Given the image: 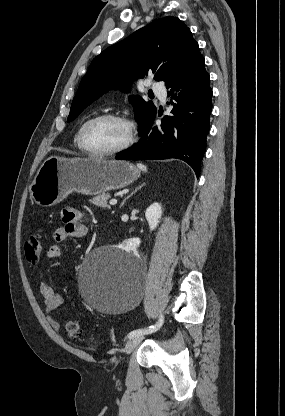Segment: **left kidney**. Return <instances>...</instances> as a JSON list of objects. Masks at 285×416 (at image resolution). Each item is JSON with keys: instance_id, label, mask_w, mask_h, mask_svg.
Listing matches in <instances>:
<instances>
[{"instance_id": "left-kidney-1", "label": "left kidney", "mask_w": 285, "mask_h": 416, "mask_svg": "<svg viewBox=\"0 0 285 416\" xmlns=\"http://www.w3.org/2000/svg\"><path fill=\"white\" fill-rule=\"evenodd\" d=\"M146 220L149 224L150 230H155L159 224V220L162 216V210L160 204H151L149 208H147L145 212ZM126 246L128 248H132V250H135V248H139L141 244L140 238H130V240H126L125 242Z\"/></svg>"}]
</instances>
